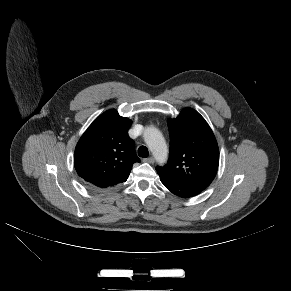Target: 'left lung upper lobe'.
I'll return each instance as SVG.
<instances>
[{
  "label": "left lung upper lobe",
  "instance_id": "left-lung-upper-lobe-1",
  "mask_svg": "<svg viewBox=\"0 0 291 291\" xmlns=\"http://www.w3.org/2000/svg\"><path fill=\"white\" fill-rule=\"evenodd\" d=\"M170 157L159 175L202 191L215 178L219 149L205 119L194 109L185 108L168 121Z\"/></svg>",
  "mask_w": 291,
  "mask_h": 291
}]
</instances>
